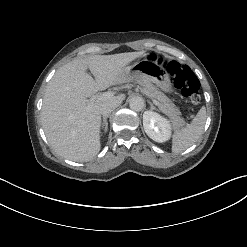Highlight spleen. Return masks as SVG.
<instances>
[{"mask_svg":"<svg viewBox=\"0 0 247 247\" xmlns=\"http://www.w3.org/2000/svg\"><path fill=\"white\" fill-rule=\"evenodd\" d=\"M206 122V108L202 107L192 122L172 136V152L181 153L192 146L202 135Z\"/></svg>","mask_w":247,"mask_h":247,"instance_id":"1","label":"spleen"}]
</instances>
